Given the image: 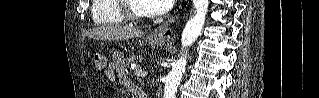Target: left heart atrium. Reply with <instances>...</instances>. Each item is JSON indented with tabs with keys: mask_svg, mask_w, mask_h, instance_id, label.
<instances>
[{
	"mask_svg": "<svg viewBox=\"0 0 319 98\" xmlns=\"http://www.w3.org/2000/svg\"><path fill=\"white\" fill-rule=\"evenodd\" d=\"M144 9L155 15L165 14L170 10L173 0H141Z\"/></svg>",
	"mask_w": 319,
	"mask_h": 98,
	"instance_id": "obj_1",
	"label": "left heart atrium"
}]
</instances>
